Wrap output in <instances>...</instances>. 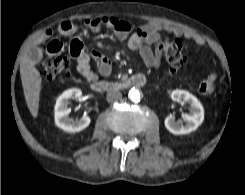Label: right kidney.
Listing matches in <instances>:
<instances>
[{
	"mask_svg": "<svg viewBox=\"0 0 245 195\" xmlns=\"http://www.w3.org/2000/svg\"><path fill=\"white\" fill-rule=\"evenodd\" d=\"M82 95L80 89L72 88L63 92L56 101L54 116L56 125L64 131L75 133L80 132L89 126L91 119L89 116H82L79 120L68 117L70 109L67 108L71 99H79Z\"/></svg>",
	"mask_w": 245,
	"mask_h": 195,
	"instance_id": "1",
	"label": "right kidney"
}]
</instances>
